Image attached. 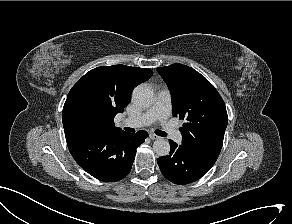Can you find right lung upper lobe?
I'll list each match as a JSON object with an SVG mask.
<instances>
[{
  "label": "right lung upper lobe",
  "mask_w": 292,
  "mask_h": 224,
  "mask_svg": "<svg viewBox=\"0 0 292 224\" xmlns=\"http://www.w3.org/2000/svg\"><path fill=\"white\" fill-rule=\"evenodd\" d=\"M153 72L148 68L126 65L101 66L87 72L70 90L63 107L65 136L71 134L123 133L114 127V117L130 102L132 90L147 81ZM90 104L96 111L92 129L76 126L71 117L75 105Z\"/></svg>",
  "instance_id": "obj_1"
}]
</instances>
